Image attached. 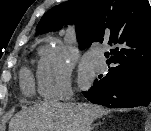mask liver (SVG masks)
Masks as SVG:
<instances>
[{"label": "liver", "instance_id": "liver-1", "mask_svg": "<svg viewBox=\"0 0 151 131\" xmlns=\"http://www.w3.org/2000/svg\"><path fill=\"white\" fill-rule=\"evenodd\" d=\"M109 111L87 103L44 101L12 118L9 131H92V123Z\"/></svg>", "mask_w": 151, "mask_h": 131}]
</instances>
